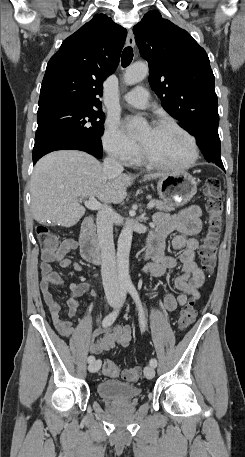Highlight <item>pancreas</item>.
I'll use <instances>...</instances> for the list:
<instances>
[{"label":"pancreas","mask_w":245,"mask_h":457,"mask_svg":"<svg viewBox=\"0 0 245 457\" xmlns=\"http://www.w3.org/2000/svg\"><path fill=\"white\" fill-rule=\"evenodd\" d=\"M151 202H155L157 210H175V206H178L176 202H163L157 198H152Z\"/></svg>","instance_id":"pancreas-1"}]
</instances>
